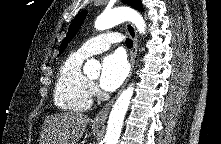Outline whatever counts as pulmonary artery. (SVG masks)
Here are the masks:
<instances>
[{
  "instance_id": "1",
  "label": "pulmonary artery",
  "mask_w": 221,
  "mask_h": 144,
  "mask_svg": "<svg viewBox=\"0 0 221 144\" xmlns=\"http://www.w3.org/2000/svg\"><path fill=\"white\" fill-rule=\"evenodd\" d=\"M122 41V37L116 32H106L97 35L85 42L76 53L84 58L104 52L114 43Z\"/></svg>"
}]
</instances>
